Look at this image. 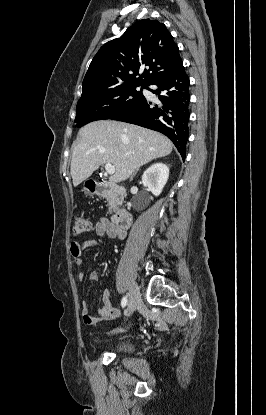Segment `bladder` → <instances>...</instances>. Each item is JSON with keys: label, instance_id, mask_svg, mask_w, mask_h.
<instances>
[{"label": "bladder", "instance_id": "obj_1", "mask_svg": "<svg viewBox=\"0 0 266 415\" xmlns=\"http://www.w3.org/2000/svg\"><path fill=\"white\" fill-rule=\"evenodd\" d=\"M113 350L117 353H130L133 351V344L129 340H122L114 345Z\"/></svg>", "mask_w": 266, "mask_h": 415}]
</instances>
